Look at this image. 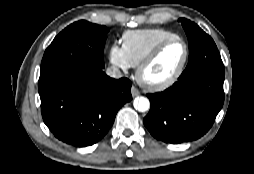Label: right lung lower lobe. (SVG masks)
Here are the masks:
<instances>
[{
    "label": "right lung lower lobe",
    "mask_w": 254,
    "mask_h": 174,
    "mask_svg": "<svg viewBox=\"0 0 254 174\" xmlns=\"http://www.w3.org/2000/svg\"><path fill=\"white\" fill-rule=\"evenodd\" d=\"M38 86L44 123L76 147L101 140L118 110L132 100L130 80L110 78L102 69L72 70Z\"/></svg>",
    "instance_id": "right-lung-lower-lobe-1"
}]
</instances>
